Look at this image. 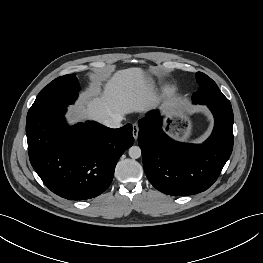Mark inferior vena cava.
<instances>
[{"label":"inferior vena cava","mask_w":263,"mask_h":263,"mask_svg":"<svg viewBox=\"0 0 263 263\" xmlns=\"http://www.w3.org/2000/svg\"><path fill=\"white\" fill-rule=\"evenodd\" d=\"M123 116L120 114H114L112 117L103 121V124L110 128H120L122 126Z\"/></svg>","instance_id":"602c4592"}]
</instances>
